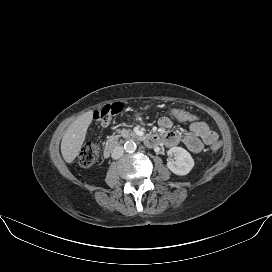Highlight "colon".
Listing matches in <instances>:
<instances>
[{"label": "colon", "mask_w": 272, "mask_h": 272, "mask_svg": "<svg viewBox=\"0 0 272 272\" xmlns=\"http://www.w3.org/2000/svg\"><path fill=\"white\" fill-rule=\"evenodd\" d=\"M123 109L121 103H113L103 106L95 111L94 120L102 125H106L110 120L119 114ZM167 115L180 122H191L198 120V116L185 109L173 108L167 111ZM221 147L220 142H215L211 145V150L217 152ZM99 156V147L94 142H87L82 147L79 154V163L82 167L91 166Z\"/></svg>", "instance_id": "5ec220e1"}]
</instances>
